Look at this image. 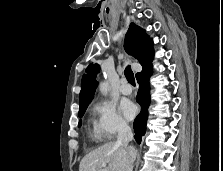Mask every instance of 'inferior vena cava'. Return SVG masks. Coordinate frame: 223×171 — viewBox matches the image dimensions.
I'll return each instance as SVG.
<instances>
[{
    "label": "inferior vena cava",
    "instance_id": "602c4592",
    "mask_svg": "<svg viewBox=\"0 0 223 171\" xmlns=\"http://www.w3.org/2000/svg\"><path fill=\"white\" fill-rule=\"evenodd\" d=\"M133 139L131 128L126 123H121L118 129L117 144L127 150H132L129 142ZM133 159H129L125 167V171H133Z\"/></svg>",
    "mask_w": 223,
    "mask_h": 171
}]
</instances>
